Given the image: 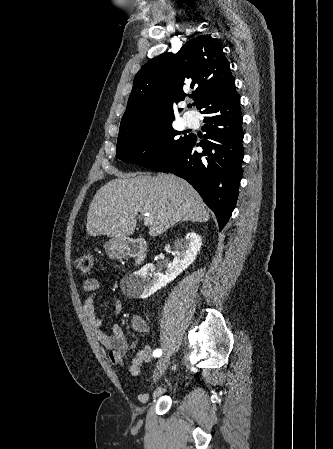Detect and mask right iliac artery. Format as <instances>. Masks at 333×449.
I'll use <instances>...</instances> for the list:
<instances>
[{"label":"right iliac artery","mask_w":333,"mask_h":449,"mask_svg":"<svg viewBox=\"0 0 333 449\" xmlns=\"http://www.w3.org/2000/svg\"><path fill=\"white\" fill-rule=\"evenodd\" d=\"M161 355H162L161 349L154 350V352H153L154 357H160Z\"/></svg>","instance_id":"1"}]
</instances>
